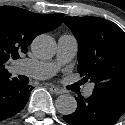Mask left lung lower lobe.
<instances>
[{
    "mask_svg": "<svg viewBox=\"0 0 125 125\" xmlns=\"http://www.w3.org/2000/svg\"><path fill=\"white\" fill-rule=\"evenodd\" d=\"M77 100V109L64 120L70 125H114L125 112V93L93 90L87 99Z\"/></svg>",
    "mask_w": 125,
    "mask_h": 125,
    "instance_id": "obj_1",
    "label": "left lung lower lobe"
}]
</instances>
